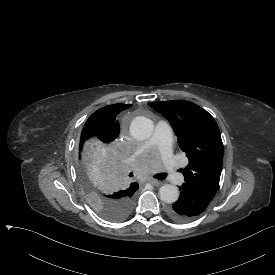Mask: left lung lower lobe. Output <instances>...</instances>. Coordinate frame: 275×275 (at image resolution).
Wrapping results in <instances>:
<instances>
[{"label":"left lung lower lobe","instance_id":"0a47b994","mask_svg":"<svg viewBox=\"0 0 275 275\" xmlns=\"http://www.w3.org/2000/svg\"><path fill=\"white\" fill-rule=\"evenodd\" d=\"M179 190L181 193L178 201L167 208L168 216L177 222H185L198 216L213 199L193 186L182 185Z\"/></svg>","mask_w":275,"mask_h":275}]
</instances>
